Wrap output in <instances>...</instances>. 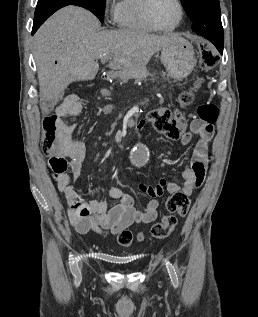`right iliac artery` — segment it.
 I'll return each mask as SVG.
<instances>
[{"mask_svg": "<svg viewBox=\"0 0 258 317\" xmlns=\"http://www.w3.org/2000/svg\"><path fill=\"white\" fill-rule=\"evenodd\" d=\"M74 284H75L76 287H78V286L80 285V281H76V280H75V281H74Z\"/></svg>", "mask_w": 258, "mask_h": 317, "instance_id": "right-iliac-artery-1", "label": "right iliac artery"}]
</instances>
